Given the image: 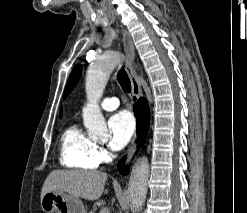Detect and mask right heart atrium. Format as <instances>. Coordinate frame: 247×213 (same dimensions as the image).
I'll use <instances>...</instances> for the list:
<instances>
[{
  "mask_svg": "<svg viewBox=\"0 0 247 213\" xmlns=\"http://www.w3.org/2000/svg\"><path fill=\"white\" fill-rule=\"evenodd\" d=\"M95 157L98 161V163H104L107 162L110 158L109 153L107 152V150L101 146V145H96L95 147Z\"/></svg>",
  "mask_w": 247,
  "mask_h": 213,
  "instance_id": "right-heart-atrium-1",
  "label": "right heart atrium"
}]
</instances>
